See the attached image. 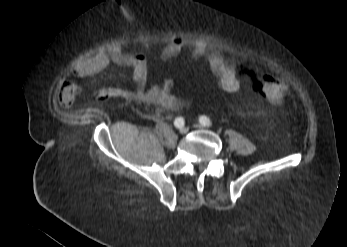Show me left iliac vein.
Here are the masks:
<instances>
[{
	"instance_id": "obj_1",
	"label": "left iliac vein",
	"mask_w": 347,
	"mask_h": 247,
	"mask_svg": "<svg viewBox=\"0 0 347 247\" xmlns=\"http://www.w3.org/2000/svg\"><path fill=\"white\" fill-rule=\"evenodd\" d=\"M196 127H197V128H200V129L204 128V126H202V125H200V124H197Z\"/></svg>"
}]
</instances>
